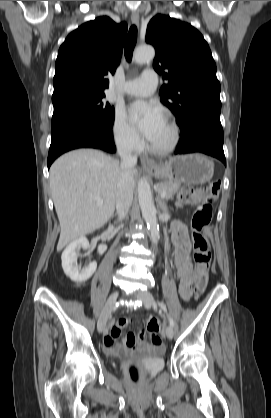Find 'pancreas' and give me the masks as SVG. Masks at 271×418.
I'll return each mask as SVG.
<instances>
[{
	"label": "pancreas",
	"mask_w": 271,
	"mask_h": 418,
	"mask_svg": "<svg viewBox=\"0 0 271 418\" xmlns=\"http://www.w3.org/2000/svg\"><path fill=\"white\" fill-rule=\"evenodd\" d=\"M180 188V183L178 182H174V181H166V182H162L157 184L156 186V190L159 194L165 192L166 193V197L165 199H171L172 196L179 190Z\"/></svg>",
	"instance_id": "obj_1"
}]
</instances>
